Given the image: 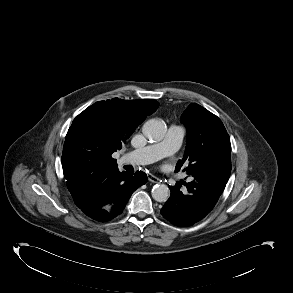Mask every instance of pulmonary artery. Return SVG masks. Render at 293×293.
I'll use <instances>...</instances> for the list:
<instances>
[{"label": "pulmonary artery", "instance_id": "e3ab8cb5", "mask_svg": "<svg viewBox=\"0 0 293 293\" xmlns=\"http://www.w3.org/2000/svg\"><path fill=\"white\" fill-rule=\"evenodd\" d=\"M185 130L178 125L168 128L165 138L157 144L129 152L124 156V161L134 165H144L156 162L164 157L175 154L183 141Z\"/></svg>", "mask_w": 293, "mask_h": 293}]
</instances>
